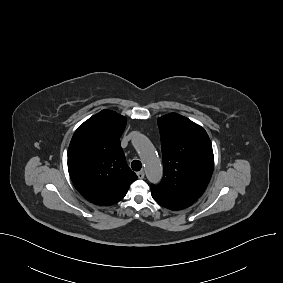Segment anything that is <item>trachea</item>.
I'll use <instances>...</instances> for the list:
<instances>
[{
    "label": "trachea",
    "instance_id": "obj_1",
    "mask_svg": "<svg viewBox=\"0 0 283 283\" xmlns=\"http://www.w3.org/2000/svg\"><path fill=\"white\" fill-rule=\"evenodd\" d=\"M131 168L134 171H139L142 168V164L139 160H133L131 163Z\"/></svg>",
    "mask_w": 283,
    "mask_h": 283
}]
</instances>
